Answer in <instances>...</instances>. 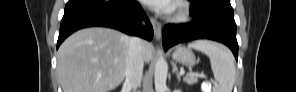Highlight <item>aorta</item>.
<instances>
[{"instance_id":"762f6f07","label":"aorta","mask_w":296,"mask_h":92,"mask_svg":"<svg viewBox=\"0 0 296 92\" xmlns=\"http://www.w3.org/2000/svg\"><path fill=\"white\" fill-rule=\"evenodd\" d=\"M168 73V65L164 59L162 52L159 51V57L156 61L154 72V83L156 92L166 91V79Z\"/></svg>"}]
</instances>
